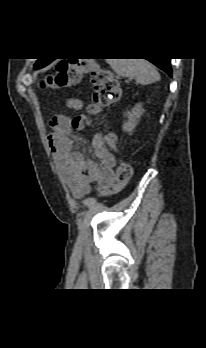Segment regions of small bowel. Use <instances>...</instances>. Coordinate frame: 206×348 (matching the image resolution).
Segmentation results:
<instances>
[{
    "instance_id": "obj_1",
    "label": "small bowel",
    "mask_w": 206,
    "mask_h": 348,
    "mask_svg": "<svg viewBox=\"0 0 206 348\" xmlns=\"http://www.w3.org/2000/svg\"><path fill=\"white\" fill-rule=\"evenodd\" d=\"M67 105L79 110L82 102L72 98L67 101ZM50 128L48 142L54 153L60 176L75 198L82 199L87 195L92 183H97L99 186L115 183L116 158L107 150L101 134H95L91 140L92 149L98 159V163H95L86 160L81 151L73 148L69 117L54 116L50 120Z\"/></svg>"
}]
</instances>
